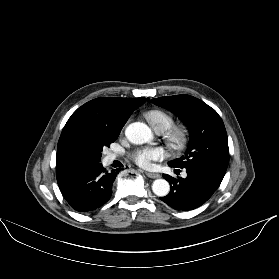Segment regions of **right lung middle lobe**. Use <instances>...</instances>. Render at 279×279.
Returning <instances> with one entry per match:
<instances>
[{
	"label": "right lung middle lobe",
	"instance_id": "dd1d6c3e",
	"mask_svg": "<svg viewBox=\"0 0 279 279\" xmlns=\"http://www.w3.org/2000/svg\"><path fill=\"white\" fill-rule=\"evenodd\" d=\"M119 133L120 132L97 130L86 136L81 144V150L85 161L89 164L99 163L103 147L109 146L114 142L118 138Z\"/></svg>",
	"mask_w": 279,
	"mask_h": 279
}]
</instances>
